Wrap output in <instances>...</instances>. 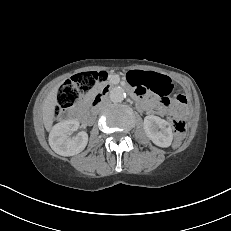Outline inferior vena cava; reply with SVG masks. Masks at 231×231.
Returning a JSON list of instances; mask_svg holds the SVG:
<instances>
[{"instance_id":"obj_1","label":"inferior vena cava","mask_w":231,"mask_h":231,"mask_svg":"<svg viewBox=\"0 0 231 231\" xmlns=\"http://www.w3.org/2000/svg\"><path fill=\"white\" fill-rule=\"evenodd\" d=\"M108 104V99H105L103 102H102V107L107 105Z\"/></svg>"}]
</instances>
